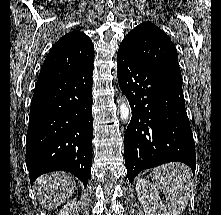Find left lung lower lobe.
<instances>
[{
	"mask_svg": "<svg viewBox=\"0 0 221 215\" xmlns=\"http://www.w3.org/2000/svg\"><path fill=\"white\" fill-rule=\"evenodd\" d=\"M117 73L119 86L132 109L124 135L129 181L132 183L143 169L174 161L189 165L194 173L195 145L182 84L144 66L120 48Z\"/></svg>",
	"mask_w": 221,
	"mask_h": 215,
	"instance_id": "0a47b994",
	"label": "left lung lower lobe"
}]
</instances>
